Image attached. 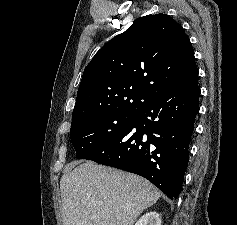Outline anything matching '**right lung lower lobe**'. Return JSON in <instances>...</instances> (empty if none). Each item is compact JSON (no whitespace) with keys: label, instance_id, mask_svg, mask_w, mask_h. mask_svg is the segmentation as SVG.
Listing matches in <instances>:
<instances>
[{"label":"right lung lower lobe","instance_id":"right-lung-lower-lobe-1","mask_svg":"<svg viewBox=\"0 0 237 225\" xmlns=\"http://www.w3.org/2000/svg\"><path fill=\"white\" fill-rule=\"evenodd\" d=\"M199 96L198 85L159 95L120 134L84 159L138 174L176 199L188 166Z\"/></svg>","mask_w":237,"mask_h":225}]
</instances>
